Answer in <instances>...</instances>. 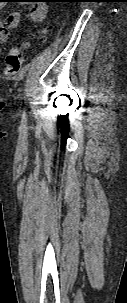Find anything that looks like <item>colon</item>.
Wrapping results in <instances>:
<instances>
[{
	"label": "colon",
	"mask_w": 127,
	"mask_h": 303,
	"mask_svg": "<svg viewBox=\"0 0 127 303\" xmlns=\"http://www.w3.org/2000/svg\"><path fill=\"white\" fill-rule=\"evenodd\" d=\"M47 33V29H41L39 31L40 35H45ZM28 43L26 41L19 42L15 44L8 52L6 56L5 63V74L7 76H12L16 74L22 65V51L28 48Z\"/></svg>",
	"instance_id": "5ec220e1"
}]
</instances>
